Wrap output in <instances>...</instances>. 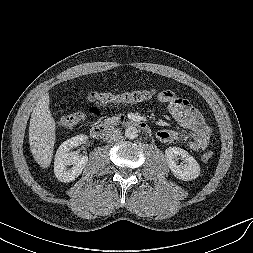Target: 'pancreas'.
<instances>
[{
    "label": "pancreas",
    "mask_w": 253,
    "mask_h": 253,
    "mask_svg": "<svg viewBox=\"0 0 253 253\" xmlns=\"http://www.w3.org/2000/svg\"><path fill=\"white\" fill-rule=\"evenodd\" d=\"M116 117L107 118L104 120V123L107 125L113 124L115 122Z\"/></svg>",
    "instance_id": "cf45deb5"
}]
</instances>
